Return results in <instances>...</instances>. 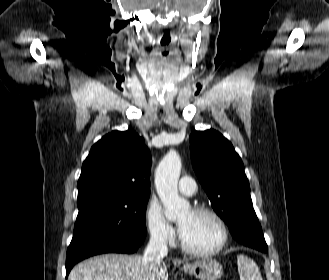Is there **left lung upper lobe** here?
I'll return each instance as SVG.
<instances>
[{
	"label": "left lung upper lobe",
	"mask_w": 329,
	"mask_h": 280,
	"mask_svg": "<svg viewBox=\"0 0 329 280\" xmlns=\"http://www.w3.org/2000/svg\"><path fill=\"white\" fill-rule=\"evenodd\" d=\"M189 141L193 168L214 211L228 224L231 233L249 225L256 213L243 162L232 144L212 129L193 130ZM239 242L266 245L264 236L250 235Z\"/></svg>",
	"instance_id": "5c2ea615"
}]
</instances>
